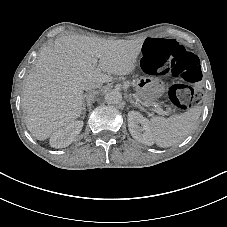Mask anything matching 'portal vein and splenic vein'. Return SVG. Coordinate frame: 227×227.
Returning a JSON list of instances; mask_svg holds the SVG:
<instances>
[{
    "instance_id": "18ae733b",
    "label": "portal vein and splenic vein",
    "mask_w": 227,
    "mask_h": 227,
    "mask_svg": "<svg viewBox=\"0 0 227 227\" xmlns=\"http://www.w3.org/2000/svg\"><path fill=\"white\" fill-rule=\"evenodd\" d=\"M159 116L166 115V112H162L161 110L157 112ZM167 115H177V111L167 112Z\"/></svg>"
}]
</instances>
